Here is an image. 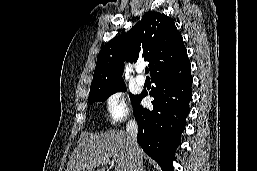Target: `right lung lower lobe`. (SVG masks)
Listing matches in <instances>:
<instances>
[{
  "mask_svg": "<svg viewBox=\"0 0 257 171\" xmlns=\"http://www.w3.org/2000/svg\"><path fill=\"white\" fill-rule=\"evenodd\" d=\"M155 87L150 96L153 110L140 105L144 94L138 95L133 113L139 125L138 144L160 166L162 171H173V160L181 133L185 129L192 97V76L187 58L177 66L151 76Z\"/></svg>",
  "mask_w": 257,
  "mask_h": 171,
  "instance_id": "1",
  "label": "right lung lower lobe"
}]
</instances>
